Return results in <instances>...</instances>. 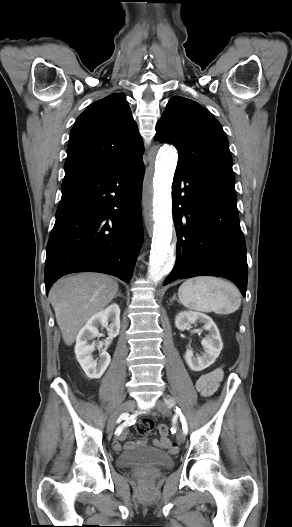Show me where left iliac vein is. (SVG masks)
I'll use <instances>...</instances> for the list:
<instances>
[{
	"instance_id": "left-iliac-vein-1",
	"label": "left iliac vein",
	"mask_w": 292,
	"mask_h": 527,
	"mask_svg": "<svg viewBox=\"0 0 292 527\" xmlns=\"http://www.w3.org/2000/svg\"><path fill=\"white\" fill-rule=\"evenodd\" d=\"M155 408L160 413H162L165 416H171V414H172L171 408L162 400H157L156 401ZM185 439H186V437H185L184 432L182 430L178 429V432H177V440H178V442L179 443H184Z\"/></svg>"
}]
</instances>
